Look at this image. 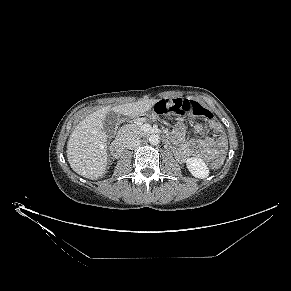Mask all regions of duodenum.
Returning a JSON list of instances; mask_svg holds the SVG:
<instances>
[{"label":"duodenum","instance_id":"duodenum-1","mask_svg":"<svg viewBox=\"0 0 291 291\" xmlns=\"http://www.w3.org/2000/svg\"><path fill=\"white\" fill-rule=\"evenodd\" d=\"M152 134L158 135L159 132L153 131ZM124 148H125V140L122 137H119L115 139L114 142L112 143V146H111L112 154L115 157H118L122 154Z\"/></svg>","mask_w":291,"mask_h":291}]
</instances>
